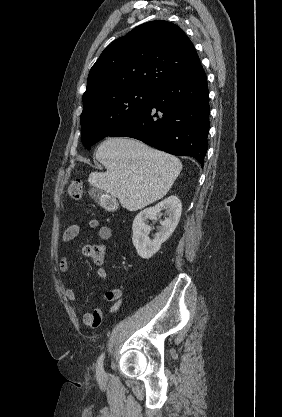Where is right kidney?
<instances>
[{
    "instance_id": "obj_1",
    "label": "right kidney",
    "mask_w": 282,
    "mask_h": 417,
    "mask_svg": "<svg viewBox=\"0 0 282 417\" xmlns=\"http://www.w3.org/2000/svg\"><path fill=\"white\" fill-rule=\"evenodd\" d=\"M160 211H166L168 217L165 221H160L161 227L159 233L154 235V239L148 237L151 227L146 225L148 219L157 221V213ZM182 202L176 194L167 196L155 206H149V209H144L136 215L133 221V245L141 259H151L155 253H158L162 243H165L169 237H171L173 231H175L181 217Z\"/></svg>"
}]
</instances>
